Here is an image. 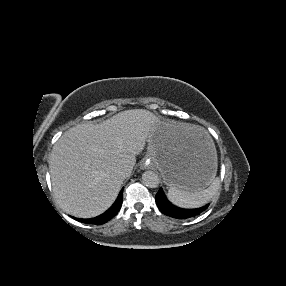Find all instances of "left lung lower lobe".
Returning a JSON list of instances; mask_svg holds the SVG:
<instances>
[{
    "instance_id": "obj_1",
    "label": "left lung lower lobe",
    "mask_w": 286,
    "mask_h": 286,
    "mask_svg": "<svg viewBox=\"0 0 286 286\" xmlns=\"http://www.w3.org/2000/svg\"><path fill=\"white\" fill-rule=\"evenodd\" d=\"M156 204L159 210L165 215L177 218V219H187L195 217L203 212L208 205L197 209H181L172 205L165 197L162 189L160 188L156 195Z\"/></svg>"
}]
</instances>
